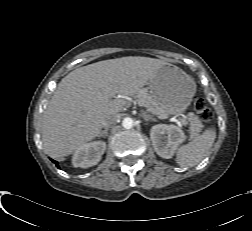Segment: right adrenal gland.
<instances>
[{
  "label": "right adrenal gland",
  "instance_id": "1",
  "mask_svg": "<svg viewBox=\"0 0 252 231\" xmlns=\"http://www.w3.org/2000/svg\"><path fill=\"white\" fill-rule=\"evenodd\" d=\"M108 130H109V128H106L105 130L100 132L98 137H104L105 138L107 136V134H108Z\"/></svg>",
  "mask_w": 252,
  "mask_h": 231
}]
</instances>
